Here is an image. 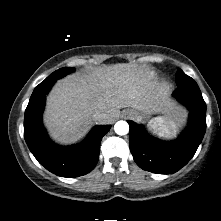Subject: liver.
<instances>
[{"mask_svg":"<svg viewBox=\"0 0 221 221\" xmlns=\"http://www.w3.org/2000/svg\"><path fill=\"white\" fill-rule=\"evenodd\" d=\"M125 107L181 115L176 104L149 82L143 69L122 63L59 80L47 98L44 123L54 140L73 144L97 122L93 120L95 112L105 113L99 123L108 124Z\"/></svg>","mask_w":221,"mask_h":221,"instance_id":"obj_1","label":"liver"}]
</instances>
